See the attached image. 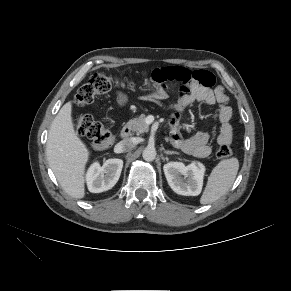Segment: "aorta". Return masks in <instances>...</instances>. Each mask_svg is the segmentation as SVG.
I'll return each mask as SVG.
<instances>
[{
	"label": "aorta",
	"mask_w": 291,
	"mask_h": 291,
	"mask_svg": "<svg viewBox=\"0 0 291 291\" xmlns=\"http://www.w3.org/2000/svg\"><path fill=\"white\" fill-rule=\"evenodd\" d=\"M145 161H153L156 157V150L154 147H146L142 153Z\"/></svg>",
	"instance_id": "aorta-1"
}]
</instances>
